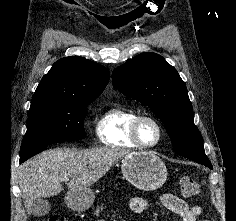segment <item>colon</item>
Returning <instances> with one entry per match:
<instances>
[{
    "mask_svg": "<svg viewBox=\"0 0 236 221\" xmlns=\"http://www.w3.org/2000/svg\"><path fill=\"white\" fill-rule=\"evenodd\" d=\"M180 187H181V192L185 197H193L198 195L200 192V187L198 182L190 176L181 177ZM45 221H67V220L60 218L58 216H51Z\"/></svg>",
    "mask_w": 236,
    "mask_h": 221,
    "instance_id": "obj_1",
    "label": "colon"
}]
</instances>
